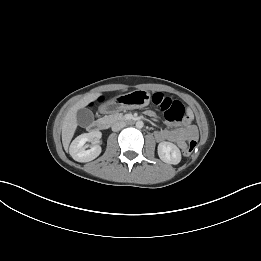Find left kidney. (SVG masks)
<instances>
[{"instance_id":"obj_1","label":"left kidney","mask_w":261,"mask_h":261,"mask_svg":"<svg viewBox=\"0 0 261 261\" xmlns=\"http://www.w3.org/2000/svg\"><path fill=\"white\" fill-rule=\"evenodd\" d=\"M158 155L160 159L168 164L176 165L181 161V152L179 148L170 142H161L158 145Z\"/></svg>"}]
</instances>
